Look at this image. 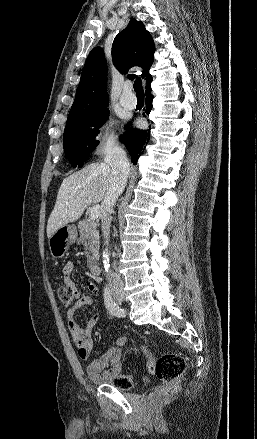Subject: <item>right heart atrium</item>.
Returning a JSON list of instances; mask_svg holds the SVG:
<instances>
[{
    "label": "right heart atrium",
    "instance_id": "right-heart-atrium-1",
    "mask_svg": "<svg viewBox=\"0 0 257 439\" xmlns=\"http://www.w3.org/2000/svg\"><path fill=\"white\" fill-rule=\"evenodd\" d=\"M97 140V149L99 152H107L117 143V134L111 123L99 127L95 133Z\"/></svg>",
    "mask_w": 257,
    "mask_h": 439
}]
</instances>
